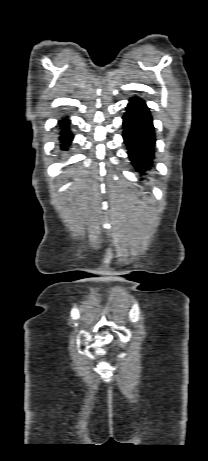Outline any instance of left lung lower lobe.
I'll return each instance as SVG.
<instances>
[{"instance_id":"0a47b994","label":"left lung lower lobe","mask_w":208,"mask_h":461,"mask_svg":"<svg viewBox=\"0 0 208 461\" xmlns=\"http://www.w3.org/2000/svg\"><path fill=\"white\" fill-rule=\"evenodd\" d=\"M123 127L129 158L138 172H144L150 168L154 156L155 133L152 116L142 99L129 100Z\"/></svg>"}]
</instances>
